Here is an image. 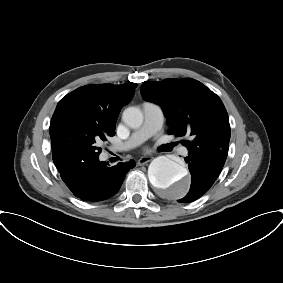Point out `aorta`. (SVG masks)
<instances>
[{
	"instance_id": "obj_1",
	"label": "aorta",
	"mask_w": 283,
	"mask_h": 283,
	"mask_svg": "<svg viewBox=\"0 0 283 283\" xmlns=\"http://www.w3.org/2000/svg\"><path fill=\"white\" fill-rule=\"evenodd\" d=\"M122 120L129 127L138 128L143 123V114L137 107H128L123 111ZM148 178L154 187L167 189L175 199L184 197L189 189L187 170L168 156H159L151 161Z\"/></svg>"
}]
</instances>
